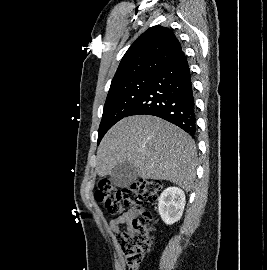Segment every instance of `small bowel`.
<instances>
[{
  "instance_id": "small-bowel-1",
  "label": "small bowel",
  "mask_w": 267,
  "mask_h": 270,
  "mask_svg": "<svg viewBox=\"0 0 267 270\" xmlns=\"http://www.w3.org/2000/svg\"><path fill=\"white\" fill-rule=\"evenodd\" d=\"M140 215V210L138 209H130L120 215L117 218L111 219L109 221V228L112 232L118 233L120 231L121 225H126L128 227L131 222L136 219Z\"/></svg>"
}]
</instances>
